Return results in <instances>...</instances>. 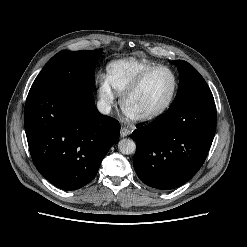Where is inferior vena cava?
<instances>
[{
  "label": "inferior vena cava",
  "instance_id": "602c4592",
  "mask_svg": "<svg viewBox=\"0 0 247 247\" xmlns=\"http://www.w3.org/2000/svg\"><path fill=\"white\" fill-rule=\"evenodd\" d=\"M97 109L99 110L100 113L107 115L111 111V106L105 101H99L97 103Z\"/></svg>",
  "mask_w": 247,
  "mask_h": 247
}]
</instances>
